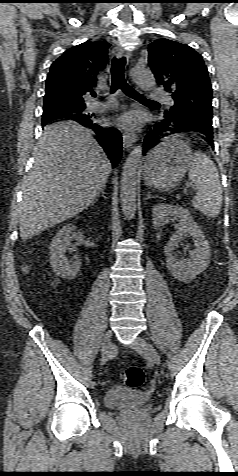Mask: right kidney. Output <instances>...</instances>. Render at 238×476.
I'll return each mask as SVG.
<instances>
[{"label":"right kidney","mask_w":238,"mask_h":476,"mask_svg":"<svg viewBox=\"0 0 238 476\" xmlns=\"http://www.w3.org/2000/svg\"><path fill=\"white\" fill-rule=\"evenodd\" d=\"M75 232V225L68 224L63 226L54 236L49 246L50 263L55 274L66 279L76 277L81 267V260L78 257H75L73 261H68L65 256V252L70 249Z\"/></svg>","instance_id":"obj_1"}]
</instances>
